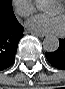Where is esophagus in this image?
Listing matches in <instances>:
<instances>
[{
    "label": "esophagus",
    "instance_id": "obj_1",
    "mask_svg": "<svg viewBox=\"0 0 65 89\" xmlns=\"http://www.w3.org/2000/svg\"><path fill=\"white\" fill-rule=\"evenodd\" d=\"M30 33H32L33 35L38 36V37H44L45 36L44 34H37V33H34V32H30Z\"/></svg>",
    "mask_w": 65,
    "mask_h": 89
}]
</instances>
